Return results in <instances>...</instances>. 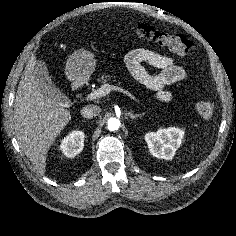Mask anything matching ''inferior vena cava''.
Returning <instances> with one entry per match:
<instances>
[{
  "label": "inferior vena cava",
  "mask_w": 236,
  "mask_h": 236,
  "mask_svg": "<svg viewBox=\"0 0 236 236\" xmlns=\"http://www.w3.org/2000/svg\"><path fill=\"white\" fill-rule=\"evenodd\" d=\"M101 112V109L97 105L89 104L81 109V115L84 118L91 119L96 117Z\"/></svg>",
  "instance_id": "inferior-vena-cava-1"
}]
</instances>
